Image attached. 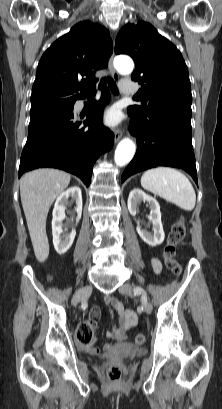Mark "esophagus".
I'll return each mask as SVG.
<instances>
[{
	"instance_id": "34e87169",
	"label": "esophagus",
	"mask_w": 222,
	"mask_h": 409,
	"mask_svg": "<svg viewBox=\"0 0 222 409\" xmlns=\"http://www.w3.org/2000/svg\"><path fill=\"white\" fill-rule=\"evenodd\" d=\"M112 40H113V43H114L113 37H112ZM108 67H109V70H110V73H111L113 79L115 81H118L119 80V75H118V73L115 71V69L113 67V54L111 55V57L108 60ZM122 134H123V132H122L121 128H117L115 130V132H114V141H115V143H117L121 139Z\"/></svg>"
}]
</instances>
